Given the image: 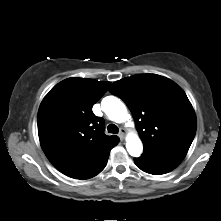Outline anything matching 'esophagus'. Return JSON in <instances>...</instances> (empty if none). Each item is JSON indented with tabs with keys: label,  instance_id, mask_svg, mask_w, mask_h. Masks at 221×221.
Returning a JSON list of instances; mask_svg holds the SVG:
<instances>
[{
	"label": "esophagus",
	"instance_id": "34e87169",
	"mask_svg": "<svg viewBox=\"0 0 221 221\" xmlns=\"http://www.w3.org/2000/svg\"><path fill=\"white\" fill-rule=\"evenodd\" d=\"M125 135H126V130L125 129H121L120 133H119L120 139H124Z\"/></svg>",
	"mask_w": 221,
	"mask_h": 221
}]
</instances>
